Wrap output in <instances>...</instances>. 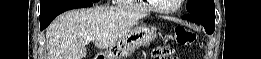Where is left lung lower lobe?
<instances>
[{
	"label": "left lung lower lobe",
	"mask_w": 261,
	"mask_h": 59,
	"mask_svg": "<svg viewBox=\"0 0 261 59\" xmlns=\"http://www.w3.org/2000/svg\"><path fill=\"white\" fill-rule=\"evenodd\" d=\"M182 18L203 25L208 34H212L215 30V18L200 14H188Z\"/></svg>",
	"instance_id": "left-lung-lower-lobe-1"
}]
</instances>
